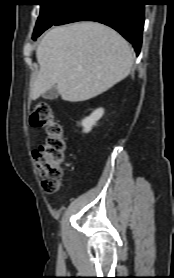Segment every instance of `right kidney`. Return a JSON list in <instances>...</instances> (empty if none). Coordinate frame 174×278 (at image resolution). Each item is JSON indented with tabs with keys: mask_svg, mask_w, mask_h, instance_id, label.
<instances>
[{
	"mask_svg": "<svg viewBox=\"0 0 174 278\" xmlns=\"http://www.w3.org/2000/svg\"><path fill=\"white\" fill-rule=\"evenodd\" d=\"M104 109L99 108L94 110L90 116L84 118L81 122V125L83 127V132L88 133L91 131L92 127L96 125V122L103 116Z\"/></svg>",
	"mask_w": 174,
	"mask_h": 278,
	"instance_id": "right-kidney-1",
	"label": "right kidney"
}]
</instances>
